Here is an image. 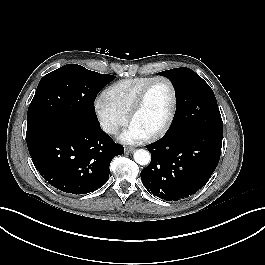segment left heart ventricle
Instances as JSON below:
<instances>
[{
    "label": "left heart ventricle",
    "mask_w": 265,
    "mask_h": 265,
    "mask_svg": "<svg viewBox=\"0 0 265 265\" xmlns=\"http://www.w3.org/2000/svg\"><path fill=\"white\" fill-rule=\"evenodd\" d=\"M172 103L171 89L164 81L156 82L149 90L140 111L131 124L146 135L159 129L166 121Z\"/></svg>",
    "instance_id": "b2bd125f"
}]
</instances>
